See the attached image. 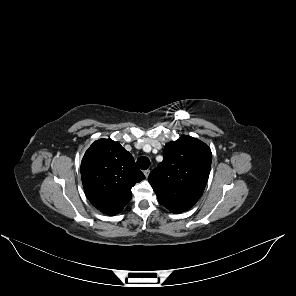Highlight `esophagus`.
Here are the masks:
<instances>
[{
  "instance_id": "34e87169",
  "label": "esophagus",
  "mask_w": 296,
  "mask_h": 296,
  "mask_svg": "<svg viewBox=\"0 0 296 296\" xmlns=\"http://www.w3.org/2000/svg\"><path fill=\"white\" fill-rule=\"evenodd\" d=\"M149 174H150V170H145L144 171V175H145L146 178H148Z\"/></svg>"
}]
</instances>
